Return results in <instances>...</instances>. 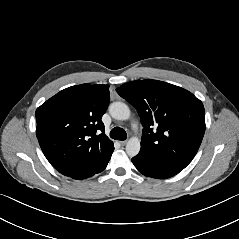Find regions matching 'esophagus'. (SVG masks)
I'll return each mask as SVG.
<instances>
[{
    "label": "esophagus",
    "instance_id": "34e87169",
    "mask_svg": "<svg viewBox=\"0 0 239 239\" xmlns=\"http://www.w3.org/2000/svg\"><path fill=\"white\" fill-rule=\"evenodd\" d=\"M126 143H127V140L120 141V144H121L122 146L126 145Z\"/></svg>",
    "mask_w": 239,
    "mask_h": 239
}]
</instances>
